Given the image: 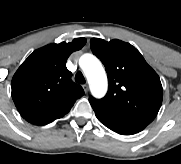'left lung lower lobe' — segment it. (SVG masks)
Masks as SVG:
<instances>
[{"instance_id":"obj_1","label":"left lung lower lobe","mask_w":181,"mask_h":164,"mask_svg":"<svg viewBox=\"0 0 181 164\" xmlns=\"http://www.w3.org/2000/svg\"><path fill=\"white\" fill-rule=\"evenodd\" d=\"M98 120L112 131L122 135H133L142 131L147 125L105 108L93 107Z\"/></svg>"}]
</instances>
